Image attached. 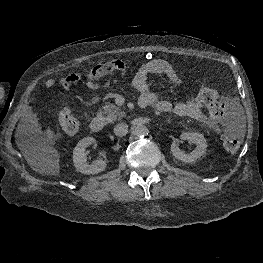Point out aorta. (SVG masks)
<instances>
[{
    "instance_id": "762f6f07",
    "label": "aorta",
    "mask_w": 263,
    "mask_h": 263,
    "mask_svg": "<svg viewBox=\"0 0 263 263\" xmlns=\"http://www.w3.org/2000/svg\"><path fill=\"white\" fill-rule=\"evenodd\" d=\"M148 133H149L148 128L143 124H138L134 128V134L138 137H144V136L148 135Z\"/></svg>"
}]
</instances>
